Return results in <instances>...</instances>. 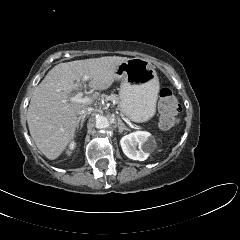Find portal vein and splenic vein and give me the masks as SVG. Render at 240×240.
<instances>
[{
	"instance_id": "portal-vein-and-splenic-vein-1",
	"label": "portal vein and splenic vein",
	"mask_w": 240,
	"mask_h": 240,
	"mask_svg": "<svg viewBox=\"0 0 240 240\" xmlns=\"http://www.w3.org/2000/svg\"><path fill=\"white\" fill-rule=\"evenodd\" d=\"M88 79H89L88 75H84L82 78L83 81H87ZM70 100L76 103H89L90 101L89 98L87 97L83 98V92L77 93L75 96L71 97ZM127 123L130 126H132V124L129 121H127Z\"/></svg>"
}]
</instances>
